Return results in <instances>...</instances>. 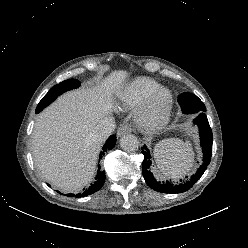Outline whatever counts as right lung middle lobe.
I'll return each instance as SVG.
<instances>
[{"mask_svg":"<svg viewBox=\"0 0 248 248\" xmlns=\"http://www.w3.org/2000/svg\"><path fill=\"white\" fill-rule=\"evenodd\" d=\"M80 84L81 82L77 79H69L53 86L39 102L36 108V113H39L44 107L53 102L59 95H61L65 91L76 89L80 86Z\"/></svg>","mask_w":248,"mask_h":248,"instance_id":"1","label":"right lung middle lobe"}]
</instances>
